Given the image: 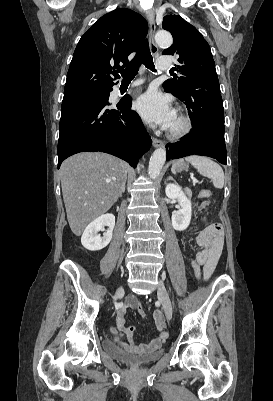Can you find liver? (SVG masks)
Instances as JSON below:
<instances>
[{"instance_id": "1", "label": "liver", "mask_w": 273, "mask_h": 401, "mask_svg": "<svg viewBox=\"0 0 273 401\" xmlns=\"http://www.w3.org/2000/svg\"><path fill=\"white\" fill-rule=\"evenodd\" d=\"M127 166L124 160L105 152H79L62 162V194L76 237L116 203L124 190Z\"/></svg>"}]
</instances>
